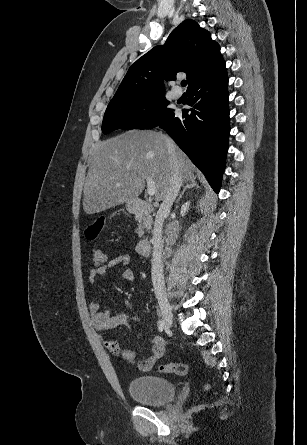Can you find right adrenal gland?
Returning a JSON list of instances; mask_svg holds the SVG:
<instances>
[{
  "label": "right adrenal gland",
  "mask_w": 307,
  "mask_h": 445,
  "mask_svg": "<svg viewBox=\"0 0 307 445\" xmlns=\"http://www.w3.org/2000/svg\"><path fill=\"white\" fill-rule=\"evenodd\" d=\"M196 176H193L192 180H188V182H186V186H184L179 198H177L176 202H179L180 198H182L184 192H186V190H189V188H200L199 184H197V180H195Z\"/></svg>",
  "instance_id": "2a0ac1e0"
}]
</instances>
